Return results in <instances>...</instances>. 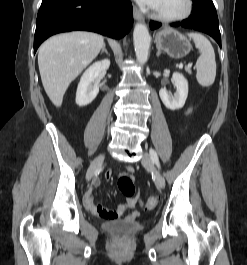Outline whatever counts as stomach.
<instances>
[{"label": "stomach", "mask_w": 247, "mask_h": 265, "mask_svg": "<svg viewBox=\"0 0 247 265\" xmlns=\"http://www.w3.org/2000/svg\"><path fill=\"white\" fill-rule=\"evenodd\" d=\"M157 48L163 50L170 57L180 59L192 49L190 40L174 29L165 28L155 36Z\"/></svg>", "instance_id": "obj_1"}]
</instances>
